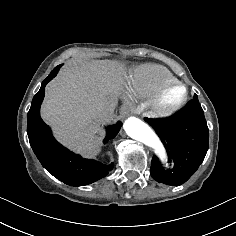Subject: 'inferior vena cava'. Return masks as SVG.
Masks as SVG:
<instances>
[{"label": "inferior vena cava", "mask_w": 236, "mask_h": 236, "mask_svg": "<svg viewBox=\"0 0 236 236\" xmlns=\"http://www.w3.org/2000/svg\"><path fill=\"white\" fill-rule=\"evenodd\" d=\"M99 114L101 115V119L103 121H112L114 119L113 117V111L111 108H106V109H103L99 112Z\"/></svg>", "instance_id": "1"}]
</instances>
